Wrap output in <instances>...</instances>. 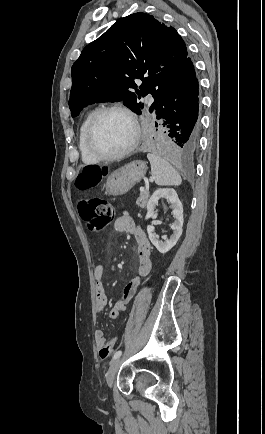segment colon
I'll return each instance as SVG.
<instances>
[{
    "instance_id": "1",
    "label": "colon",
    "mask_w": 265,
    "mask_h": 434,
    "mask_svg": "<svg viewBox=\"0 0 265 434\" xmlns=\"http://www.w3.org/2000/svg\"><path fill=\"white\" fill-rule=\"evenodd\" d=\"M102 164H90L88 168H79V179L76 181L77 189H96L97 177L103 172ZM76 209L79 216L85 223V226L90 234L97 235L108 226L114 219L115 213L112 208V203L100 197H91L77 202ZM115 339L108 341L106 345L101 346L99 358L101 362H107L108 356L111 355L114 347Z\"/></svg>"
}]
</instances>
